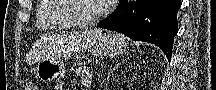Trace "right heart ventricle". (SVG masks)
Returning <instances> with one entry per match:
<instances>
[{"label":"right heart ventricle","mask_w":216,"mask_h":90,"mask_svg":"<svg viewBox=\"0 0 216 90\" xmlns=\"http://www.w3.org/2000/svg\"><path fill=\"white\" fill-rule=\"evenodd\" d=\"M41 6L36 7L35 15L37 16L36 25L38 29H66L77 28L67 16L60 14L63 10L64 2L67 0H39Z\"/></svg>","instance_id":"right-heart-ventricle-1"}]
</instances>
